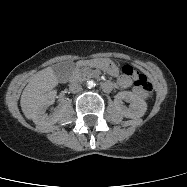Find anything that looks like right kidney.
I'll return each instance as SVG.
<instances>
[{"instance_id":"right-kidney-1","label":"right kidney","mask_w":187,"mask_h":187,"mask_svg":"<svg viewBox=\"0 0 187 187\" xmlns=\"http://www.w3.org/2000/svg\"><path fill=\"white\" fill-rule=\"evenodd\" d=\"M55 91H51L45 100L44 106L38 111L37 116L34 120V122L37 125H40L42 127H50L52 125H54L58 119L61 117L64 108L60 107L58 109H55L53 113H51L50 115H47L46 109L48 106L52 105L55 101Z\"/></svg>"}]
</instances>
